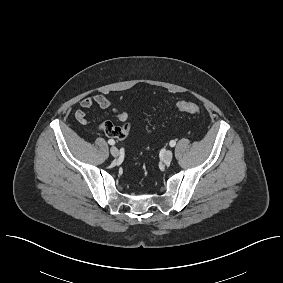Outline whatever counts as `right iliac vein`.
<instances>
[{"label":"right iliac vein","mask_w":283,"mask_h":283,"mask_svg":"<svg viewBox=\"0 0 283 283\" xmlns=\"http://www.w3.org/2000/svg\"><path fill=\"white\" fill-rule=\"evenodd\" d=\"M110 153L113 157H118L119 155V150L117 147L113 146L110 148Z\"/></svg>","instance_id":"63e3f726"}]
</instances>
